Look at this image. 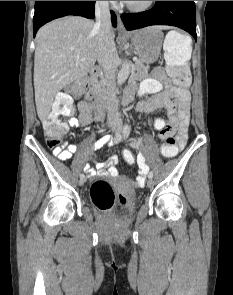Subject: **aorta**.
I'll return each instance as SVG.
<instances>
[{"label":"aorta","instance_id":"aorta-1","mask_svg":"<svg viewBox=\"0 0 233 295\" xmlns=\"http://www.w3.org/2000/svg\"><path fill=\"white\" fill-rule=\"evenodd\" d=\"M130 74V65L129 63L126 61L122 64V67L118 73V76H117V83L120 85L122 83H124L128 76Z\"/></svg>","mask_w":233,"mask_h":295}]
</instances>
